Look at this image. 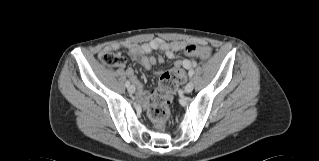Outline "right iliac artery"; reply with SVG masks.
I'll return each mask as SVG.
<instances>
[{
	"label": "right iliac artery",
	"mask_w": 319,
	"mask_h": 161,
	"mask_svg": "<svg viewBox=\"0 0 319 161\" xmlns=\"http://www.w3.org/2000/svg\"><path fill=\"white\" fill-rule=\"evenodd\" d=\"M129 85H130V82L127 80L126 81V87H129Z\"/></svg>",
	"instance_id": "right-iliac-artery-1"
}]
</instances>
